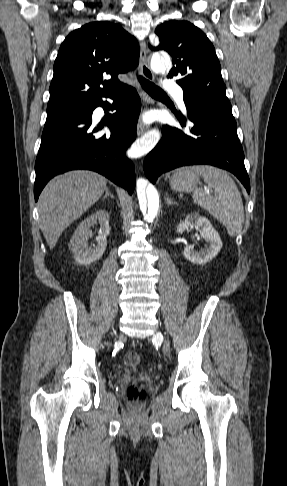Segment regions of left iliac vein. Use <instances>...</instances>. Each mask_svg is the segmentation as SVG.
<instances>
[{"label": "left iliac vein", "instance_id": "1", "mask_svg": "<svg viewBox=\"0 0 287 486\" xmlns=\"http://www.w3.org/2000/svg\"><path fill=\"white\" fill-rule=\"evenodd\" d=\"M155 338H156L157 340H160V339H162V338H163V336H162V334H161L160 332H157V333L155 334ZM163 350H164V353H165L166 355H168V354H169V343H168L167 341H164Z\"/></svg>", "mask_w": 287, "mask_h": 486}]
</instances>
